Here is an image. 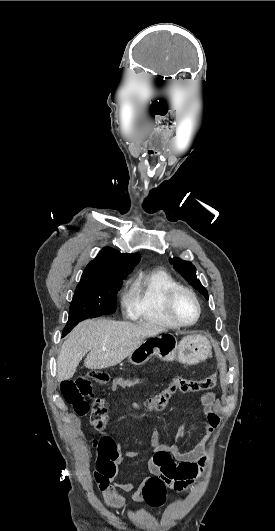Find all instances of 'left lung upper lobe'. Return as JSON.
I'll return each instance as SVG.
<instances>
[{"label":"left lung upper lobe","instance_id":"5c2ea615","mask_svg":"<svg viewBox=\"0 0 275 531\" xmlns=\"http://www.w3.org/2000/svg\"><path fill=\"white\" fill-rule=\"evenodd\" d=\"M169 262L173 265L175 270L179 272L188 281V283L192 287L197 289L201 294H203L206 299H208V292L202 286L199 279L196 278V268L191 262L184 261L178 257L170 258Z\"/></svg>","mask_w":275,"mask_h":531}]
</instances>
